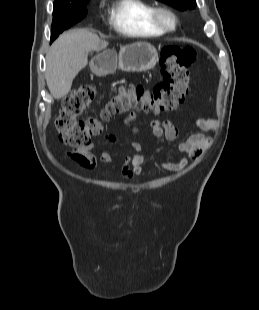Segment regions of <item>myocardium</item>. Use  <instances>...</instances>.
<instances>
[{
  "label": "myocardium",
  "instance_id": "1",
  "mask_svg": "<svg viewBox=\"0 0 259 310\" xmlns=\"http://www.w3.org/2000/svg\"><path fill=\"white\" fill-rule=\"evenodd\" d=\"M152 23L164 32H172L177 28L178 19L174 12L166 7L153 8Z\"/></svg>",
  "mask_w": 259,
  "mask_h": 310
}]
</instances>
